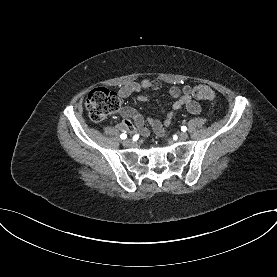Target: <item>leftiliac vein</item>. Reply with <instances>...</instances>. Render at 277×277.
<instances>
[{"mask_svg":"<svg viewBox=\"0 0 277 277\" xmlns=\"http://www.w3.org/2000/svg\"><path fill=\"white\" fill-rule=\"evenodd\" d=\"M187 138H188V134H187V133L181 132V133L179 134V139H180V140L184 141V140H186Z\"/></svg>","mask_w":277,"mask_h":277,"instance_id":"4c4485c4","label":"left iliac vein"}]
</instances>
